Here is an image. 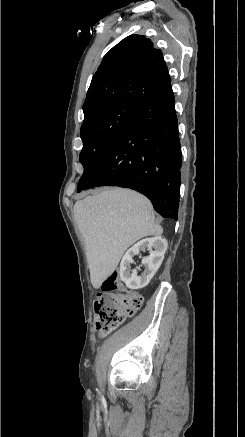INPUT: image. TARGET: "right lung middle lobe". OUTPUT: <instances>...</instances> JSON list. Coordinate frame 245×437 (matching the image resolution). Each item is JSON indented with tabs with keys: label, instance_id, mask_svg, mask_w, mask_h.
Here are the masks:
<instances>
[{
	"label": "right lung middle lobe",
	"instance_id": "right-lung-middle-lobe-1",
	"mask_svg": "<svg viewBox=\"0 0 245 437\" xmlns=\"http://www.w3.org/2000/svg\"><path fill=\"white\" fill-rule=\"evenodd\" d=\"M139 106L128 102H115L100 106L84 116L80 137L83 148L79 161L84 172L78 183L88 177L95 166L114 146Z\"/></svg>",
	"mask_w": 245,
	"mask_h": 437
}]
</instances>
